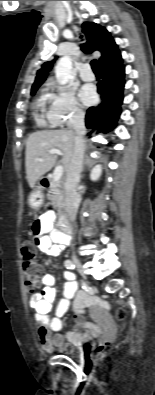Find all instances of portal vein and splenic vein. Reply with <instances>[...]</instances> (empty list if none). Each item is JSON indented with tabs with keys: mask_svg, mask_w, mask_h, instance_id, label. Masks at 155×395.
<instances>
[{
	"mask_svg": "<svg viewBox=\"0 0 155 395\" xmlns=\"http://www.w3.org/2000/svg\"><path fill=\"white\" fill-rule=\"evenodd\" d=\"M49 153L50 154H58V155L63 154L61 152V150H59V149H51V150H49ZM62 174H63V166H57L53 172V180L56 182L59 181L60 178L62 177Z\"/></svg>",
	"mask_w": 155,
	"mask_h": 395,
	"instance_id": "obj_1",
	"label": "portal vein and splenic vein"
}]
</instances>
